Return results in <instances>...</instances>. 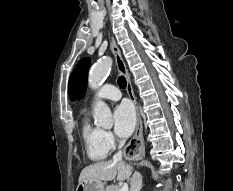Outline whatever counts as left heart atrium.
Wrapping results in <instances>:
<instances>
[{"instance_id":"obj_1","label":"left heart atrium","mask_w":233,"mask_h":191,"mask_svg":"<svg viewBox=\"0 0 233 191\" xmlns=\"http://www.w3.org/2000/svg\"><path fill=\"white\" fill-rule=\"evenodd\" d=\"M114 130L119 137L126 138L132 134L136 126V115L133 107L123 102L113 113Z\"/></svg>"}]
</instances>
